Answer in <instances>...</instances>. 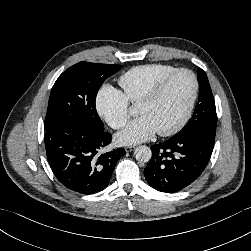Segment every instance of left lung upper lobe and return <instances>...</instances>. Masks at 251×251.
Masks as SVG:
<instances>
[{"mask_svg":"<svg viewBox=\"0 0 251 251\" xmlns=\"http://www.w3.org/2000/svg\"><path fill=\"white\" fill-rule=\"evenodd\" d=\"M199 99L192 118L186 126L173 137L203 131L211 135L216 134L217 116L214 97L204 70L198 68Z\"/></svg>","mask_w":251,"mask_h":251,"instance_id":"1","label":"left lung upper lobe"}]
</instances>
